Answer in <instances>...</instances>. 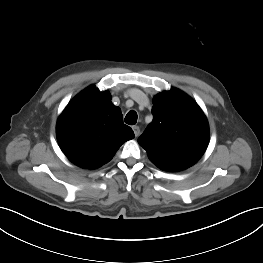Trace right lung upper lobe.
Masks as SVG:
<instances>
[{
    "label": "right lung upper lobe",
    "instance_id": "obj_1",
    "mask_svg": "<svg viewBox=\"0 0 263 263\" xmlns=\"http://www.w3.org/2000/svg\"><path fill=\"white\" fill-rule=\"evenodd\" d=\"M133 138L109 92H100L93 85L66 106L57 122L60 148L81 168L95 169L109 162L120 146Z\"/></svg>",
    "mask_w": 263,
    "mask_h": 263
}]
</instances>
